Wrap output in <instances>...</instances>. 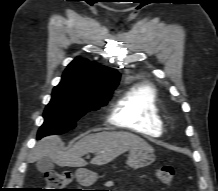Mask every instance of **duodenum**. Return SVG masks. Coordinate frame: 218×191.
<instances>
[{"label": "duodenum", "mask_w": 218, "mask_h": 191, "mask_svg": "<svg viewBox=\"0 0 218 191\" xmlns=\"http://www.w3.org/2000/svg\"><path fill=\"white\" fill-rule=\"evenodd\" d=\"M77 177L80 181H84L85 180V171L83 169H80L78 171Z\"/></svg>", "instance_id": "1"}]
</instances>
